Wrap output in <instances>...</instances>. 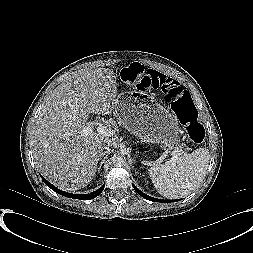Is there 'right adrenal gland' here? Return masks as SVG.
<instances>
[{
    "label": "right adrenal gland",
    "instance_id": "2a0ac1e0",
    "mask_svg": "<svg viewBox=\"0 0 253 253\" xmlns=\"http://www.w3.org/2000/svg\"><path fill=\"white\" fill-rule=\"evenodd\" d=\"M110 152L111 151H105V152L102 153L101 162H100L99 167H98V172H100V169H101L103 163L105 162V160L107 159L108 154H110Z\"/></svg>",
    "mask_w": 253,
    "mask_h": 253
}]
</instances>
